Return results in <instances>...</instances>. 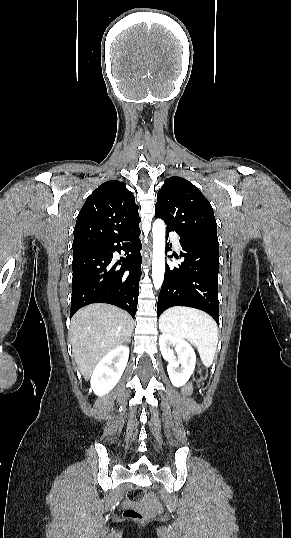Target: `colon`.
I'll return each instance as SVG.
<instances>
[{"label":"colon","instance_id":"5ec220e1","mask_svg":"<svg viewBox=\"0 0 291 538\" xmlns=\"http://www.w3.org/2000/svg\"><path fill=\"white\" fill-rule=\"evenodd\" d=\"M206 378V372L204 370H199L196 375L195 379L197 382H202ZM144 497V491L140 488H132L127 493V499L130 502H138ZM124 515L129 519L139 520V521H145L148 518V514L139 510H136L134 508H128Z\"/></svg>","mask_w":291,"mask_h":538}]
</instances>
